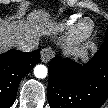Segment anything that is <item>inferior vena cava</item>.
<instances>
[{
	"instance_id": "inferior-vena-cava-1",
	"label": "inferior vena cava",
	"mask_w": 108,
	"mask_h": 108,
	"mask_svg": "<svg viewBox=\"0 0 108 108\" xmlns=\"http://www.w3.org/2000/svg\"><path fill=\"white\" fill-rule=\"evenodd\" d=\"M37 46H38V42L35 41V42L31 43V44H21L18 47V49L23 51V52H30V51L36 49Z\"/></svg>"
}]
</instances>
